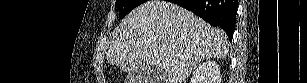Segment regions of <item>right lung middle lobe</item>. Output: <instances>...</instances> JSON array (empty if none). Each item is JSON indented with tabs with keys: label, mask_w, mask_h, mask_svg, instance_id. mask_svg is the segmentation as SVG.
<instances>
[{
	"label": "right lung middle lobe",
	"mask_w": 307,
	"mask_h": 83,
	"mask_svg": "<svg viewBox=\"0 0 307 83\" xmlns=\"http://www.w3.org/2000/svg\"><path fill=\"white\" fill-rule=\"evenodd\" d=\"M144 2L146 0H117L116 7L119 11L120 18H124L131 10Z\"/></svg>",
	"instance_id": "dd1d6c3e"
}]
</instances>
